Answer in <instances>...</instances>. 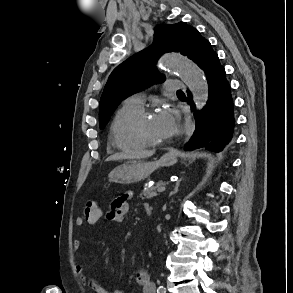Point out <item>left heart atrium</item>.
Masks as SVG:
<instances>
[{"instance_id":"1","label":"left heart atrium","mask_w":293,"mask_h":293,"mask_svg":"<svg viewBox=\"0 0 293 293\" xmlns=\"http://www.w3.org/2000/svg\"><path fill=\"white\" fill-rule=\"evenodd\" d=\"M159 117L163 122L168 135H172L177 126V116L172 109H165L159 113Z\"/></svg>"}]
</instances>
